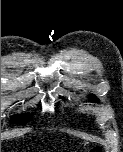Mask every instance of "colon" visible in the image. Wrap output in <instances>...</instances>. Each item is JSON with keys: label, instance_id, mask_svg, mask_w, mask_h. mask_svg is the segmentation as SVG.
Segmentation results:
<instances>
[{"label": "colon", "instance_id": "1", "mask_svg": "<svg viewBox=\"0 0 123 152\" xmlns=\"http://www.w3.org/2000/svg\"><path fill=\"white\" fill-rule=\"evenodd\" d=\"M89 152H104L100 147H93Z\"/></svg>", "mask_w": 123, "mask_h": 152}]
</instances>
